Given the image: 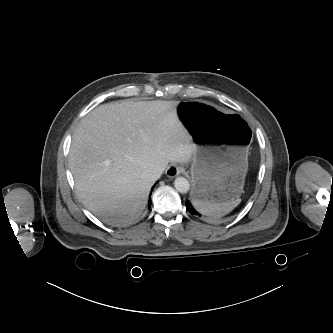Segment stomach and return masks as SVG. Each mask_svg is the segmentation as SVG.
Masks as SVG:
<instances>
[{
  "instance_id": "stomach-1",
  "label": "stomach",
  "mask_w": 333,
  "mask_h": 333,
  "mask_svg": "<svg viewBox=\"0 0 333 333\" xmlns=\"http://www.w3.org/2000/svg\"><path fill=\"white\" fill-rule=\"evenodd\" d=\"M177 113L180 127L196 145L192 197L213 203L240 199L253 139L251 129L236 113L198 100L179 103Z\"/></svg>"
}]
</instances>
